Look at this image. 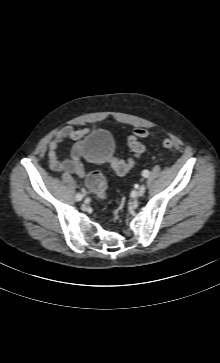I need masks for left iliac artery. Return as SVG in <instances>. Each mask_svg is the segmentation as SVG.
<instances>
[{
    "instance_id": "1",
    "label": "left iliac artery",
    "mask_w": 220,
    "mask_h": 363,
    "mask_svg": "<svg viewBox=\"0 0 220 363\" xmlns=\"http://www.w3.org/2000/svg\"><path fill=\"white\" fill-rule=\"evenodd\" d=\"M149 175H150V173H149V171H148V170H144V171L142 172V176H143V177H145V178H147Z\"/></svg>"
}]
</instances>
